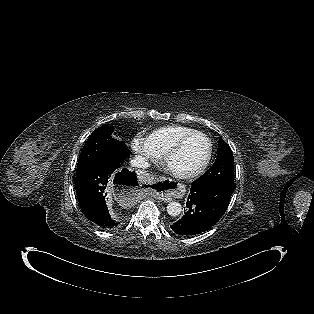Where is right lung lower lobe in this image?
Segmentation results:
<instances>
[{"label":"right lung lower lobe","mask_w":314,"mask_h":314,"mask_svg":"<svg viewBox=\"0 0 314 314\" xmlns=\"http://www.w3.org/2000/svg\"><path fill=\"white\" fill-rule=\"evenodd\" d=\"M126 159H112L97 164L75 177L76 194L82 212L87 219L104 229H113L118 226L120 219L109 213L106 206V187L109 182L115 179L129 188L137 186L135 172L124 168Z\"/></svg>","instance_id":"1"}]
</instances>
